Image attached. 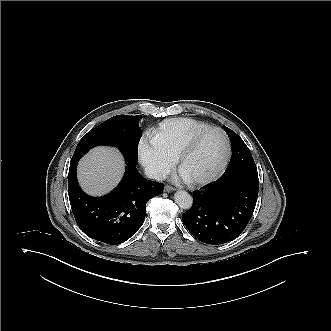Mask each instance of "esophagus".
<instances>
[{
    "label": "esophagus",
    "instance_id": "esophagus-1",
    "mask_svg": "<svg viewBox=\"0 0 331 331\" xmlns=\"http://www.w3.org/2000/svg\"><path fill=\"white\" fill-rule=\"evenodd\" d=\"M175 190H176V188L173 187V186H170V185H166V186L164 187V191H165V192H172V191H175Z\"/></svg>",
    "mask_w": 331,
    "mask_h": 331
}]
</instances>
